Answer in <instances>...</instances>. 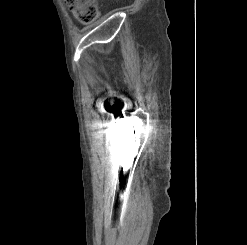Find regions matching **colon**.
I'll use <instances>...</instances> for the list:
<instances>
[{"label": "colon", "instance_id": "1", "mask_svg": "<svg viewBox=\"0 0 247 245\" xmlns=\"http://www.w3.org/2000/svg\"><path fill=\"white\" fill-rule=\"evenodd\" d=\"M65 3L82 24L92 23L99 16L98 0H65Z\"/></svg>", "mask_w": 247, "mask_h": 245}]
</instances>
